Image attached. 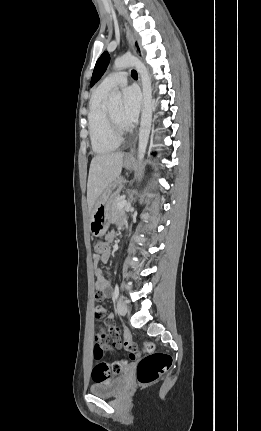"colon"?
<instances>
[{
    "mask_svg": "<svg viewBox=\"0 0 261 431\" xmlns=\"http://www.w3.org/2000/svg\"><path fill=\"white\" fill-rule=\"evenodd\" d=\"M108 252L109 244L106 241L97 240L93 243V257L95 259L101 258ZM102 357L103 350L100 344L96 343L94 348L96 364L91 371V381L97 386L107 383L111 378L112 380H117V375H112V373H124L125 371L123 360H113L112 364H108L102 360ZM130 359L138 361L137 379L141 385H149L157 381L172 364L170 355L162 352H153L152 343H146L143 349L136 351L135 355H130Z\"/></svg>",
    "mask_w": 261,
    "mask_h": 431,
    "instance_id": "obj_1",
    "label": "colon"
}]
</instances>
